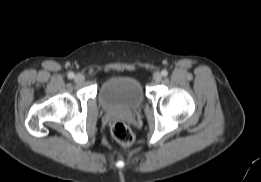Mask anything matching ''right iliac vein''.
<instances>
[{
	"label": "right iliac vein",
	"mask_w": 261,
	"mask_h": 182,
	"mask_svg": "<svg viewBox=\"0 0 261 182\" xmlns=\"http://www.w3.org/2000/svg\"><path fill=\"white\" fill-rule=\"evenodd\" d=\"M74 79L77 83H83L85 81V77L83 74H77Z\"/></svg>",
	"instance_id": "obj_1"
}]
</instances>
